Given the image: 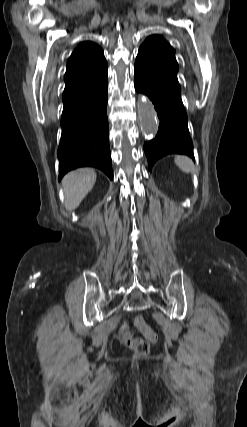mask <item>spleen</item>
I'll use <instances>...</instances> for the list:
<instances>
[{
	"mask_svg": "<svg viewBox=\"0 0 247 427\" xmlns=\"http://www.w3.org/2000/svg\"><path fill=\"white\" fill-rule=\"evenodd\" d=\"M175 164L185 173H194V164L187 156H176Z\"/></svg>",
	"mask_w": 247,
	"mask_h": 427,
	"instance_id": "spleen-1",
	"label": "spleen"
}]
</instances>
